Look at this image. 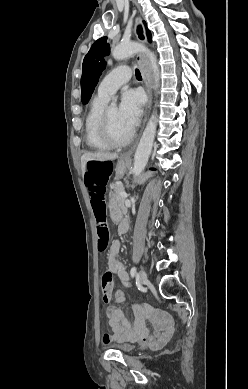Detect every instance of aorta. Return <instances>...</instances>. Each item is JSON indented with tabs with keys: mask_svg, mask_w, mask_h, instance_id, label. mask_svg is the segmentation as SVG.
Listing matches in <instances>:
<instances>
[{
	"mask_svg": "<svg viewBox=\"0 0 248 389\" xmlns=\"http://www.w3.org/2000/svg\"><path fill=\"white\" fill-rule=\"evenodd\" d=\"M138 52L144 53L149 58L154 77V90L156 91L159 87L160 80L159 67L157 64L156 56L149 49L136 42L122 43L120 45H117L112 50V56L115 60H123ZM116 101V98L112 99V106L116 105ZM156 128L157 113L154 111L145 127V130L142 134V137L134 155L132 169L134 177H137L142 173L148 162L155 138Z\"/></svg>",
	"mask_w": 248,
	"mask_h": 389,
	"instance_id": "aorta-1",
	"label": "aorta"
}]
</instances>
